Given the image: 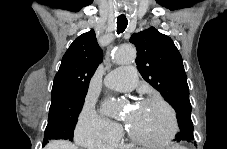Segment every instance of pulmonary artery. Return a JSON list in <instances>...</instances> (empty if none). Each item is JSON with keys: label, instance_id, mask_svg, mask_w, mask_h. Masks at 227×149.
I'll use <instances>...</instances> for the list:
<instances>
[{"label": "pulmonary artery", "instance_id": "1", "mask_svg": "<svg viewBox=\"0 0 227 149\" xmlns=\"http://www.w3.org/2000/svg\"><path fill=\"white\" fill-rule=\"evenodd\" d=\"M137 81L136 69L133 66H122L110 71L105 76L104 84L112 90L127 92L136 87Z\"/></svg>", "mask_w": 227, "mask_h": 149}]
</instances>
